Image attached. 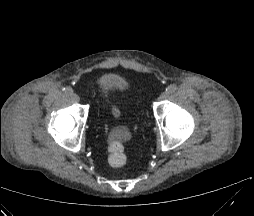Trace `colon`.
I'll return each instance as SVG.
<instances>
[{
  "mask_svg": "<svg viewBox=\"0 0 254 216\" xmlns=\"http://www.w3.org/2000/svg\"><path fill=\"white\" fill-rule=\"evenodd\" d=\"M126 162V153L123 142L118 137L110 140L108 147V163L113 167H120Z\"/></svg>",
  "mask_w": 254,
  "mask_h": 216,
  "instance_id": "1",
  "label": "colon"
}]
</instances>
